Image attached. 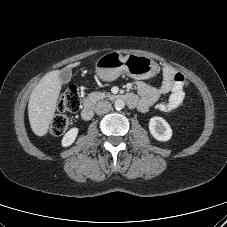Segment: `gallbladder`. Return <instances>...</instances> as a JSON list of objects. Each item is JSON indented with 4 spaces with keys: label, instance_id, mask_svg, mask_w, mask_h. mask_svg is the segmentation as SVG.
Segmentation results:
<instances>
[{
    "label": "gallbladder",
    "instance_id": "obj_1",
    "mask_svg": "<svg viewBox=\"0 0 227 227\" xmlns=\"http://www.w3.org/2000/svg\"><path fill=\"white\" fill-rule=\"evenodd\" d=\"M72 71L69 68H64L59 74V78L62 84L68 83L71 79Z\"/></svg>",
    "mask_w": 227,
    "mask_h": 227
}]
</instances>
